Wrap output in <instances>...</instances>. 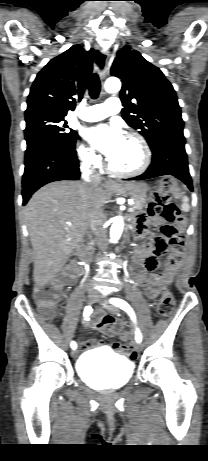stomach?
Segmentation results:
<instances>
[{
    "label": "stomach",
    "instance_id": "obj_1",
    "mask_svg": "<svg viewBox=\"0 0 208 461\" xmlns=\"http://www.w3.org/2000/svg\"><path fill=\"white\" fill-rule=\"evenodd\" d=\"M111 191L117 194L130 195L134 199H140L146 197L149 186L145 182L118 183L111 188Z\"/></svg>",
    "mask_w": 208,
    "mask_h": 461
}]
</instances>
